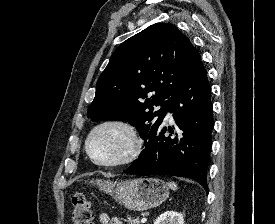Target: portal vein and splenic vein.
Masks as SVG:
<instances>
[{
	"label": "portal vein and splenic vein",
	"instance_id": "portal-vein-and-splenic-vein-1",
	"mask_svg": "<svg viewBox=\"0 0 275 224\" xmlns=\"http://www.w3.org/2000/svg\"><path fill=\"white\" fill-rule=\"evenodd\" d=\"M146 221H147V218H146V217H143V218L141 219V223H146Z\"/></svg>",
	"mask_w": 275,
	"mask_h": 224
}]
</instances>
